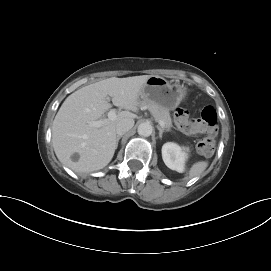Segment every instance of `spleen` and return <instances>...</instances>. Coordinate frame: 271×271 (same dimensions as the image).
<instances>
[{
	"label": "spleen",
	"mask_w": 271,
	"mask_h": 271,
	"mask_svg": "<svg viewBox=\"0 0 271 271\" xmlns=\"http://www.w3.org/2000/svg\"><path fill=\"white\" fill-rule=\"evenodd\" d=\"M207 166H208V162L206 161H200L193 164L188 172V176H186L185 179L187 180L196 176H200L205 171Z\"/></svg>",
	"instance_id": "spleen-1"
}]
</instances>
